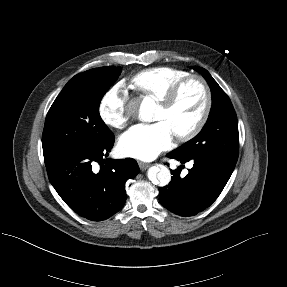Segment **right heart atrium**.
Returning <instances> with one entry per match:
<instances>
[{
	"label": "right heart atrium",
	"instance_id": "1",
	"mask_svg": "<svg viewBox=\"0 0 287 287\" xmlns=\"http://www.w3.org/2000/svg\"><path fill=\"white\" fill-rule=\"evenodd\" d=\"M128 91L124 83L113 85L101 98L98 114L101 121L112 128L123 129L128 124Z\"/></svg>",
	"mask_w": 287,
	"mask_h": 287
}]
</instances>
